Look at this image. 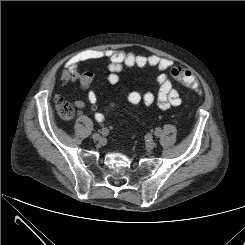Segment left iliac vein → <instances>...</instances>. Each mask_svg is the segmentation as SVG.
I'll return each mask as SVG.
<instances>
[{"label": "left iliac vein", "mask_w": 245, "mask_h": 245, "mask_svg": "<svg viewBox=\"0 0 245 245\" xmlns=\"http://www.w3.org/2000/svg\"><path fill=\"white\" fill-rule=\"evenodd\" d=\"M155 146H156V143H155L154 140H152V139H149V140L146 142V148H147L148 150L154 149Z\"/></svg>", "instance_id": "4c4485c4"}]
</instances>
